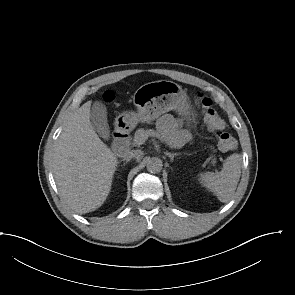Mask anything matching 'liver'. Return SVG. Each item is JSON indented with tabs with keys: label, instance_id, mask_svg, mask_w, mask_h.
<instances>
[{
	"label": "liver",
	"instance_id": "6515ba94",
	"mask_svg": "<svg viewBox=\"0 0 295 295\" xmlns=\"http://www.w3.org/2000/svg\"><path fill=\"white\" fill-rule=\"evenodd\" d=\"M91 101L68 120L56 141L52 166L63 201L76 213L96 210L110 193L117 158L90 121Z\"/></svg>",
	"mask_w": 295,
	"mask_h": 295
}]
</instances>
